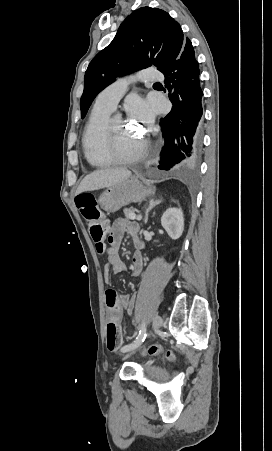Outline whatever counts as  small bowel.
Listing matches in <instances>:
<instances>
[{"mask_svg":"<svg viewBox=\"0 0 272 451\" xmlns=\"http://www.w3.org/2000/svg\"><path fill=\"white\" fill-rule=\"evenodd\" d=\"M109 245L105 250L107 262L104 269V281H111V272L122 273L127 270L126 264L121 259L119 248L125 235L132 237L139 250L132 257L131 275L137 277L141 274L144 265V254L140 250L142 243L138 237L139 225L130 220L118 219L109 228ZM105 304L107 308V318H113L119 325L123 320V313L126 311L132 315L134 310V297L127 294H117L110 289L105 293ZM120 332V329H119Z\"/></svg>","mask_w":272,"mask_h":451,"instance_id":"c3829d8e","label":"small bowel"}]
</instances>
